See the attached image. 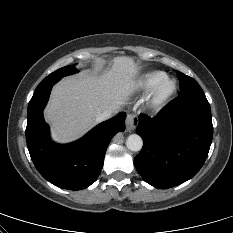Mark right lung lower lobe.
<instances>
[{"instance_id":"1","label":"right lung lower lobe","mask_w":233,"mask_h":233,"mask_svg":"<svg viewBox=\"0 0 233 233\" xmlns=\"http://www.w3.org/2000/svg\"><path fill=\"white\" fill-rule=\"evenodd\" d=\"M52 86L34 92L27 112L26 141L39 173L57 187L81 190L94 183L103 167L112 137L125 130L124 112L99 124L77 142L59 145L51 141L43 109Z\"/></svg>"}]
</instances>
